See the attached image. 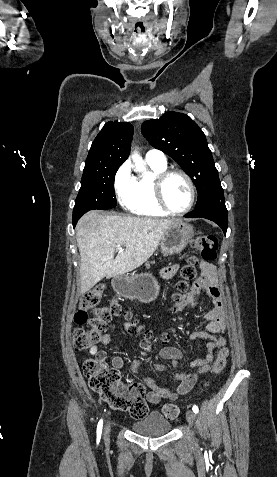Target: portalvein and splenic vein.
<instances>
[{"label":"portal vein and splenic vein","instance_id":"18ae733b","mask_svg":"<svg viewBox=\"0 0 277 477\" xmlns=\"http://www.w3.org/2000/svg\"><path fill=\"white\" fill-rule=\"evenodd\" d=\"M116 248H117L118 250H120V251H123V250H124L121 245H117Z\"/></svg>","mask_w":277,"mask_h":477}]
</instances>
